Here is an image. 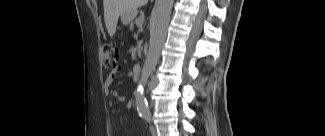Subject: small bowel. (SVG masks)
<instances>
[{"label": "small bowel", "mask_w": 325, "mask_h": 136, "mask_svg": "<svg viewBox=\"0 0 325 136\" xmlns=\"http://www.w3.org/2000/svg\"><path fill=\"white\" fill-rule=\"evenodd\" d=\"M116 74H117V71H113L108 75V77L105 80V87L106 88H109L112 85V83H113V81H114V79L116 77Z\"/></svg>", "instance_id": "1"}]
</instances>
